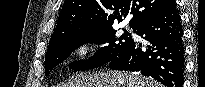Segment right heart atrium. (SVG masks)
<instances>
[{
	"label": "right heart atrium",
	"mask_w": 205,
	"mask_h": 87,
	"mask_svg": "<svg viewBox=\"0 0 205 87\" xmlns=\"http://www.w3.org/2000/svg\"><path fill=\"white\" fill-rule=\"evenodd\" d=\"M97 52V44L91 40L83 41L75 48L77 57L83 61L93 59L97 55Z\"/></svg>",
	"instance_id": "1"
}]
</instances>
